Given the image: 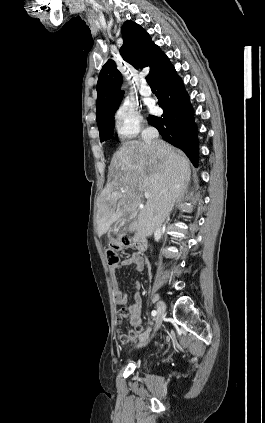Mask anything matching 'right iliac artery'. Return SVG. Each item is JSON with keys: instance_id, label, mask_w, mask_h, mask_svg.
I'll list each match as a JSON object with an SVG mask.
<instances>
[{"instance_id": "obj_1", "label": "right iliac artery", "mask_w": 265, "mask_h": 423, "mask_svg": "<svg viewBox=\"0 0 265 423\" xmlns=\"http://www.w3.org/2000/svg\"><path fill=\"white\" fill-rule=\"evenodd\" d=\"M157 312L155 310L152 311V316H155Z\"/></svg>"}]
</instances>
